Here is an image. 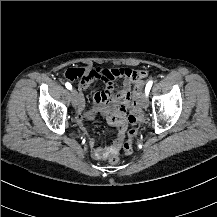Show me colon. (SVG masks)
<instances>
[{"label": "colon", "mask_w": 217, "mask_h": 217, "mask_svg": "<svg viewBox=\"0 0 217 217\" xmlns=\"http://www.w3.org/2000/svg\"><path fill=\"white\" fill-rule=\"evenodd\" d=\"M123 68H125V67H123ZM84 74H85L84 68H75V69L67 70L64 75H65L66 79L69 81L75 82V81L82 79V82H87V78L84 76ZM145 75H146V72L144 71V76ZM145 84H146V82L143 80L141 82H138L133 87H131V92H133L132 93L133 98H132V105H131L132 106V109H131L132 114L129 117V121L132 125H131V128L129 129V132H128L129 137L123 146V148H124L123 152L127 155H131L134 152L131 145L136 138V134L138 132L137 128L139 127V122L137 121V115H138L137 114L138 113L137 112V110H138L137 106L139 104L138 91H144ZM111 162H112V164L117 165V164H119L120 159H119V157L114 156V157H112Z\"/></svg>", "instance_id": "1"}]
</instances>
